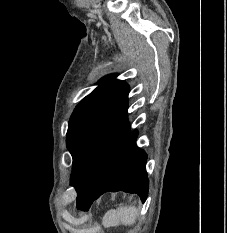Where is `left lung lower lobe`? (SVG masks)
<instances>
[{"mask_svg": "<svg viewBox=\"0 0 227 233\" xmlns=\"http://www.w3.org/2000/svg\"><path fill=\"white\" fill-rule=\"evenodd\" d=\"M137 130L130 132L113 153L96 190L77 201V208L88 210L107 191L137 193L142 202L148 195L146 153L136 145Z\"/></svg>", "mask_w": 227, "mask_h": 233, "instance_id": "0a47b994", "label": "left lung lower lobe"}]
</instances>
